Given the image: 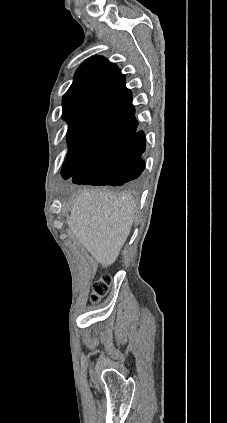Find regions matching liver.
I'll use <instances>...</instances> for the list:
<instances>
[{
	"label": "liver",
	"instance_id": "1",
	"mask_svg": "<svg viewBox=\"0 0 227 423\" xmlns=\"http://www.w3.org/2000/svg\"><path fill=\"white\" fill-rule=\"evenodd\" d=\"M135 206L131 194L79 190L66 225L102 267H109L131 231Z\"/></svg>",
	"mask_w": 227,
	"mask_h": 423
}]
</instances>
